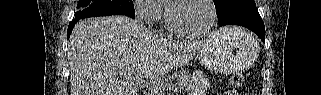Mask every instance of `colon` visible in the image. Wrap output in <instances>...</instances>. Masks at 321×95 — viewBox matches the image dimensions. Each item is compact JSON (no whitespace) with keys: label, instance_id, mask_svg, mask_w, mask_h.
I'll use <instances>...</instances> for the list:
<instances>
[{"label":"colon","instance_id":"colon-1","mask_svg":"<svg viewBox=\"0 0 321 95\" xmlns=\"http://www.w3.org/2000/svg\"><path fill=\"white\" fill-rule=\"evenodd\" d=\"M243 82L244 78L241 74H235L230 78V85L233 87H241Z\"/></svg>","mask_w":321,"mask_h":95}]
</instances>
